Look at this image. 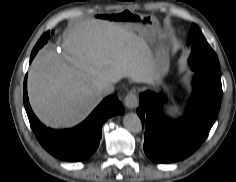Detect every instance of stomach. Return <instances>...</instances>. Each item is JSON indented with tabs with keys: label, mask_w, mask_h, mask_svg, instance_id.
Segmentation results:
<instances>
[{
	"label": "stomach",
	"mask_w": 236,
	"mask_h": 182,
	"mask_svg": "<svg viewBox=\"0 0 236 182\" xmlns=\"http://www.w3.org/2000/svg\"><path fill=\"white\" fill-rule=\"evenodd\" d=\"M91 21L109 26L122 25L133 32H137L141 37L155 42L157 47L154 60L155 72L149 84L154 88L159 87L170 70V51L159 22L154 16L135 13L130 10H124L123 12L104 10L93 12Z\"/></svg>",
	"instance_id": "obj_1"
}]
</instances>
